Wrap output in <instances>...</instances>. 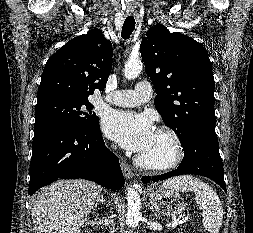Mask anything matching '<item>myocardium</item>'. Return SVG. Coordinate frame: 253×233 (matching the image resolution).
<instances>
[{
  "instance_id": "obj_1",
  "label": "myocardium",
  "mask_w": 253,
  "mask_h": 233,
  "mask_svg": "<svg viewBox=\"0 0 253 233\" xmlns=\"http://www.w3.org/2000/svg\"><path fill=\"white\" fill-rule=\"evenodd\" d=\"M156 132L160 135L165 136L172 145L171 155L164 160H153L145 158L142 155L136 157L137 164L145 169L155 171H168L178 166L185 154L183 142L178 133L169 126H160Z\"/></svg>"
}]
</instances>
